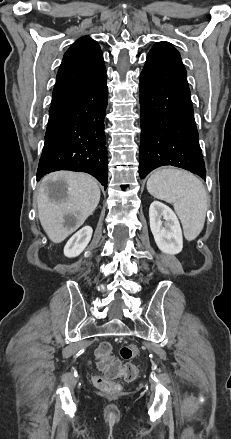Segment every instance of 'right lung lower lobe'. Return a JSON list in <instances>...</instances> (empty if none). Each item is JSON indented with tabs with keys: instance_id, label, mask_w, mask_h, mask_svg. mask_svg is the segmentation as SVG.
<instances>
[{
	"instance_id": "98d812e1",
	"label": "right lung lower lobe",
	"mask_w": 231,
	"mask_h": 439,
	"mask_svg": "<svg viewBox=\"0 0 231 439\" xmlns=\"http://www.w3.org/2000/svg\"><path fill=\"white\" fill-rule=\"evenodd\" d=\"M107 103L106 73L51 102L37 180L53 171L71 170L89 173L107 187L104 133Z\"/></svg>"
}]
</instances>
